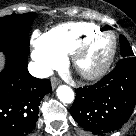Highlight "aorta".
<instances>
[{
	"instance_id": "762f6f07",
	"label": "aorta",
	"mask_w": 136,
	"mask_h": 136,
	"mask_svg": "<svg viewBox=\"0 0 136 136\" xmlns=\"http://www.w3.org/2000/svg\"><path fill=\"white\" fill-rule=\"evenodd\" d=\"M57 96L62 103L69 104L74 100V92L67 85H61L57 88Z\"/></svg>"
}]
</instances>
